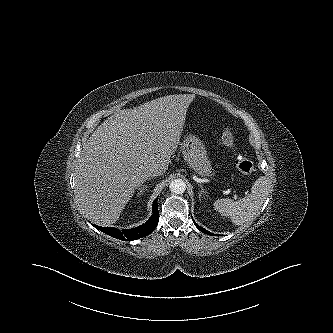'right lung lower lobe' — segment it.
Instances as JSON below:
<instances>
[{
	"label": "right lung lower lobe",
	"instance_id": "right-lung-lower-lobe-1",
	"mask_svg": "<svg viewBox=\"0 0 333 333\" xmlns=\"http://www.w3.org/2000/svg\"><path fill=\"white\" fill-rule=\"evenodd\" d=\"M159 221V213H158V207H157V198L153 202V214L151 218L143 225H140L136 228L132 229H123L122 231L116 229V228H106V227H98L95 226L98 230L123 241H132L139 238H142L151 232L156 228Z\"/></svg>",
	"mask_w": 333,
	"mask_h": 333
}]
</instances>
